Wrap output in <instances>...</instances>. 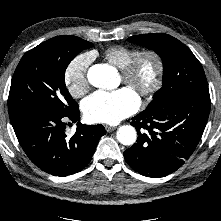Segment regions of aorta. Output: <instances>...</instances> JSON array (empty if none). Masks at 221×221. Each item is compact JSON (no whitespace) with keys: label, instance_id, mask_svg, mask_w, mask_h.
Instances as JSON below:
<instances>
[{"label":"aorta","instance_id":"aorta-1","mask_svg":"<svg viewBox=\"0 0 221 221\" xmlns=\"http://www.w3.org/2000/svg\"><path fill=\"white\" fill-rule=\"evenodd\" d=\"M115 72L108 66L97 64L90 67L87 77L89 82L103 89H112L114 87ZM118 141L123 145H132L137 138L136 130L131 125H123L118 128L116 133Z\"/></svg>","mask_w":221,"mask_h":221}]
</instances>
